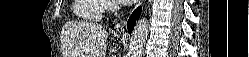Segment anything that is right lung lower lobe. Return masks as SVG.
Returning a JSON list of instances; mask_svg holds the SVG:
<instances>
[{
    "mask_svg": "<svg viewBox=\"0 0 249 57\" xmlns=\"http://www.w3.org/2000/svg\"><path fill=\"white\" fill-rule=\"evenodd\" d=\"M140 14H141V7H138L129 18L127 23V29L129 32H132L135 22L140 17Z\"/></svg>",
    "mask_w": 249,
    "mask_h": 57,
    "instance_id": "obj_1",
    "label": "right lung lower lobe"
}]
</instances>
